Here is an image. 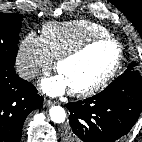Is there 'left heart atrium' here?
Here are the masks:
<instances>
[{"instance_id": "obj_1", "label": "left heart atrium", "mask_w": 142, "mask_h": 142, "mask_svg": "<svg viewBox=\"0 0 142 142\" xmlns=\"http://www.w3.org/2000/svg\"><path fill=\"white\" fill-rule=\"evenodd\" d=\"M43 91L49 95H60L69 90L65 80L58 74L41 81Z\"/></svg>"}]
</instances>
